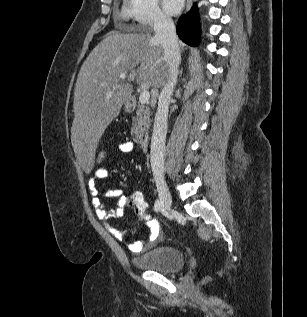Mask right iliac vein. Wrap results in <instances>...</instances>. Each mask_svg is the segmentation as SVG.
<instances>
[{"label": "right iliac vein", "mask_w": 307, "mask_h": 317, "mask_svg": "<svg viewBox=\"0 0 307 317\" xmlns=\"http://www.w3.org/2000/svg\"><path fill=\"white\" fill-rule=\"evenodd\" d=\"M156 186L163 208L169 210L172 206V196L163 177H156Z\"/></svg>", "instance_id": "obj_1"}]
</instances>
